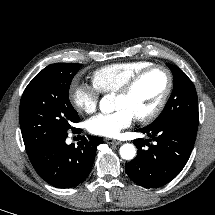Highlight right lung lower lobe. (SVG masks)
<instances>
[{
  "label": "right lung lower lobe",
  "mask_w": 215,
  "mask_h": 215,
  "mask_svg": "<svg viewBox=\"0 0 215 215\" xmlns=\"http://www.w3.org/2000/svg\"><path fill=\"white\" fill-rule=\"evenodd\" d=\"M78 131H81L78 129ZM67 136L42 147L29 159L36 172L47 183L58 188H71L89 175L101 137H83L75 147L65 143Z\"/></svg>",
  "instance_id": "obj_1"
}]
</instances>
